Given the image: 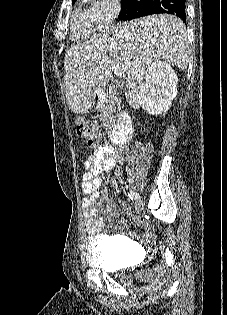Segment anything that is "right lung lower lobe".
<instances>
[{"label":"right lung lower lobe","mask_w":227,"mask_h":315,"mask_svg":"<svg viewBox=\"0 0 227 315\" xmlns=\"http://www.w3.org/2000/svg\"><path fill=\"white\" fill-rule=\"evenodd\" d=\"M186 0H122L121 12L118 16L120 20H132L135 18L167 13L178 16L184 22Z\"/></svg>","instance_id":"right-lung-lower-lobe-1"}]
</instances>
